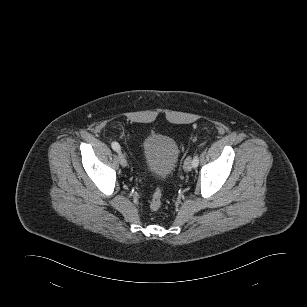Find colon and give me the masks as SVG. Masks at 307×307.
<instances>
[{
	"mask_svg": "<svg viewBox=\"0 0 307 307\" xmlns=\"http://www.w3.org/2000/svg\"><path fill=\"white\" fill-rule=\"evenodd\" d=\"M162 206V190L157 187L153 194H152V198L150 201V208L154 211H157L161 208Z\"/></svg>",
	"mask_w": 307,
	"mask_h": 307,
	"instance_id": "5ec220e1",
	"label": "colon"
}]
</instances>
